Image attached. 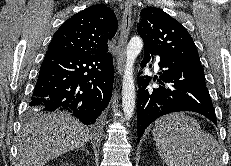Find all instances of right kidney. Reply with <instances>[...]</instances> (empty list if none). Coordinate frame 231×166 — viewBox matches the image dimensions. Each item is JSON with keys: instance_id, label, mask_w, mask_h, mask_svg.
Segmentation results:
<instances>
[{"instance_id": "right-kidney-1", "label": "right kidney", "mask_w": 231, "mask_h": 166, "mask_svg": "<svg viewBox=\"0 0 231 166\" xmlns=\"http://www.w3.org/2000/svg\"><path fill=\"white\" fill-rule=\"evenodd\" d=\"M61 166H69V164L66 163L65 165L63 164V165H61ZM70 166H71V165H70Z\"/></svg>"}]
</instances>
